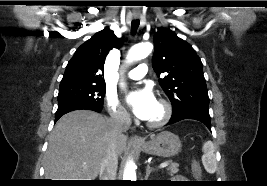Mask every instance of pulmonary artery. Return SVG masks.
Masks as SVG:
<instances>
[{"mask_svg": "<svg viewBox=\"0 0 267 186\" xmlns=\"http://www.w3.org/2000/svg\"><path fill=\"white\" fill-rule=\"evenodd\" d=\"M148 72V66L146 64H139L134 69L128 72L127 76L130 79L138 80L144 77Z\"/></svg>", "mask_w": 267, "mask_h": 186, "instance_id": "pulmonary-artery-1", "label": "pulmonary artery"}]
</instances>
